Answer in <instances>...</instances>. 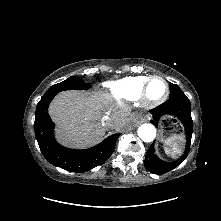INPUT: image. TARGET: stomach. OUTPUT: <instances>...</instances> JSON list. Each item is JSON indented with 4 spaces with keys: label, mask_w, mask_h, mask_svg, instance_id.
<instances>
[{
    "label": "stomach",
    "mask_w": 221,
    "mask_h": 221,
    "mask_svg": "<svg viewBox=\"0 0 221 221\" xmlns=\"http://www.w3.org/2000/svg\"><path fill=\"white\" fill-rule=\"evenodd\" d=\"M178 130H179V125L177 122L170 121L167 124L162 123L160 130V140L166 143L170 137L177 135L176 133L178 132Z\"/></svg>",
    "instance_id": "0dacf381"
}]
</instances>
